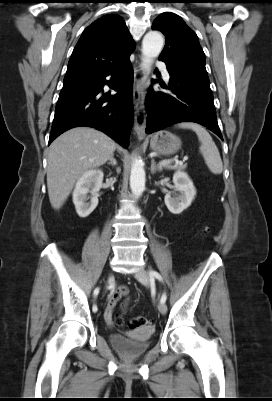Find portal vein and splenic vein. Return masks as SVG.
I'll use <instances>...</instances> for the list:
<instances>
[{"instance_id": "portal-vein-and-splenic-vein-1", "label": "portal vein and splenic vein", "mask_w": 272, "mask_h": 401, "mask_svg": "<svg viewBox=\"0 0 272 401\" xmlns=\"http://www.w3.org/2000/svg\"><path fill=\"white\" fill-rule=\"evenodd\" d=\"M183 159H184V160H187L188 157L185 156ZM170 163H172V160H163V161H161V162L159 163V165H160V166H165V165H168V164H170ZM176 163L178 164V163H181V162H179V161L176 160Z\"/></svg>"}]
</instances>
